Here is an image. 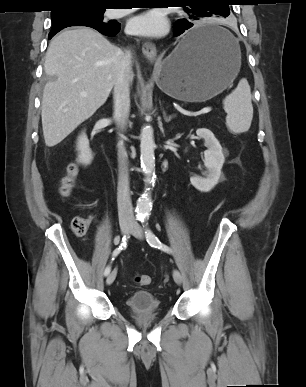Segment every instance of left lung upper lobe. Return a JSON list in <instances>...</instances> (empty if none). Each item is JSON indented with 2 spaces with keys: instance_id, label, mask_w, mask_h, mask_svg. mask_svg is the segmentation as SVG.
Instances as JSON below:
<instances>
[{
  "instance_id": "1",
  "label": "left lung upper lobe",
  "mask_w": 306,
  "mask_h": 387,
  "mask_svg": "<svg viewBox=\"0 0 306 387\" xmlns=\"http://www.w3.org/2000/svg\"><path fill=\"white\" fill-rule=\"evenodd\" d=\"M190 8L185 6L184 11L189 22L204 20L206 17L229 15V6L227 0H184Z\"/></svg>"
}]
</instances>
